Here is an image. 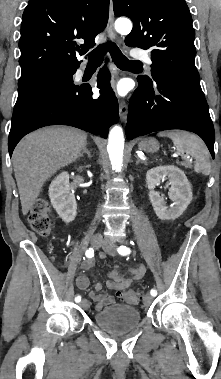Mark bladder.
<instances>
[{"instance_id": "1", "label": "bladder", "mask_w": 221, "mask_h": 379, "mask_svg": "<svg viewBox=\"0 0 221 379\" xmlns=\"http://www.w3.org/2000/svg\"><path fill=\"white\" fill-rule=\"evenodd\" d=\"M93 321L104 332L119 336L134 330L140 324L141 314L135 307L115 304L96 312Z\"/></svg>"}]
</instances>
